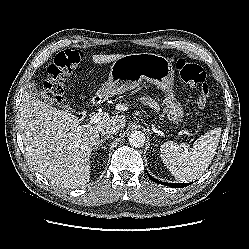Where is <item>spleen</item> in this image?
Returning a JSON list of instances; mask_svg holds the SVG:
<instances>
[{
    "mask_svg": "<svg viewBox=\"0 0 249 249\" xmlns=\"http://www.w3.org/2000/svg\"><path fill=\"white\" fill-rule=\"evenodd\" d=\"M220 135V128L208 131L189 150L175 142H165L160 148L161 159L177 180L191 182L202 176L211 164Z\"/></svg>",
    "mask_w": 249,
    "mask_h": 249,
    "instance_id": "3e777b00",
    "label": "spleen"
}]
</instances>
